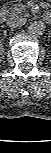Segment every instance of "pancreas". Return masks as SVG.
Segmentation results:
<instances>
[{"mask_svg": "<svg viewBox=\"0 0 51 153\" xmlns=\"http://www.w3.org/2000/svg\"><path fill=\"white\" fill-rule=\"evenodd\" d=\"M8 13L10 16L19 15L22 13H25V15L28 16V10L26 9V6L22 3L15 4L11 8H9Z\"/></svg>", "mask_w": 51, "mask_h": 153, "instance_id": "pancreas-1", "label": "pancreas"}]
</instances>
